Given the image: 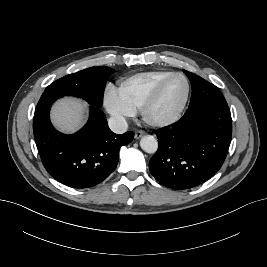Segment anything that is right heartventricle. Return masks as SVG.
Listing matches in <instances>:
<instances>
[{
	"label": "right heart ventricle",
	"instance_id": "1",
	"mask_svg": "<svg viewBox=\"0 0 267 267\" xmlns=\"http://www.w3.org/2000/svg\"><path fill=\"white\" fill-rule=\"evenodd\" d=\"M172 73L170 71L137 73L121 80L118 83L116 91L125 104L132 110L137 111L140 110L156 85Z\"/></svg>",
	"mask_w": 267,
	"mask_h": 267
}]
</instances>
